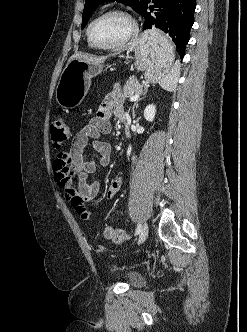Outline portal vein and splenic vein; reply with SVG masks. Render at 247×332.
<instances>
[{
    "label": "portal vein and splenic vein",
    "instance_id": "portal-vein-and-splenic-vein-1",
    "mask_svg": "<svg viewBox=\"0 0 247 332\" xmlns=\"http://www.w3.org/2000/svg\"><path fill=\"white\" fill-rule=\"evenodd\" d=\"M139 98H140V94H135L132 97H130V101L134 102V101L138 100Z\"/></svg>",
    "mask_w": 247,
    "mask_h": 332
}]
</instances>
